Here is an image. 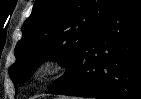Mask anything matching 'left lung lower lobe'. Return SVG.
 Returning a JSON list of instances; mask_svg holds the SVG:
<instances>
[{
    "mask_svg": "<svg viewBox=\"0 0 141 99\" xmlns=\"http://www.w3.org/2000/svg\"><path fill=\"white\" fill-rule=\"evenodd\" d=\"M98 99H141V0H118L73 69L48 90Z\"/></svg>",
    "mask_w": 141,
    "mask_h": 99,
    "instance_id": "left-lung-lower-lobe-1",
    "label": "left lung lower lobe"
}]
</instances>
